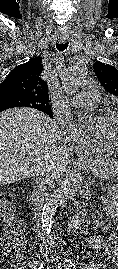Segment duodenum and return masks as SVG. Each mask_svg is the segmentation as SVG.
Wrapping results in <instances>:
<instances>
[{"label": "duodenum", "mask_w": 118, "mask_h": 269, "mask_svg": "<svg viewBox=\"0 0 118 269\" xmlns=\"http://www.w3.org/2000/svg\"><path fill=\"white\" fill-rule=\"evenodd\" d=\"M83 220V212L78 211L76 212L71 220L67 223V229L68 230H75L76 228L79 227Z\"/></svg>", "instance_id": "410a0bca"}]
</instances>
